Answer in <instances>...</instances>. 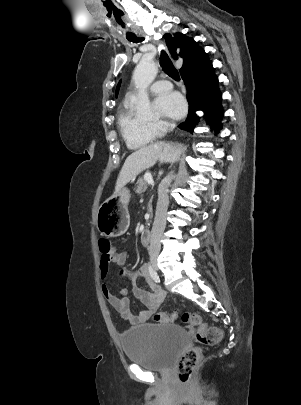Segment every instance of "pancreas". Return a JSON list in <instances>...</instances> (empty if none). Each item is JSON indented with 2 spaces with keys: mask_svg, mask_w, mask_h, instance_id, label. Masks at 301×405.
Wrapping results in <instances>:
<instances>
[{
  "mask_svg": "<svg viewBox=\"0 0 301 405\" xmlns=\"http://www.w3.org/2000/svg\"><path fill=\"white\" fill-rule=\"evenodd\" d=\"M146 189H147V181L144 177L139 180L136 193L142 195L146 191Z\"/></svg>",
  "mask_w": 301,
  "mask_h": 405,
  "instance_id": "pancreas-1",
  "label": "pancreas"
}]
</instances>
